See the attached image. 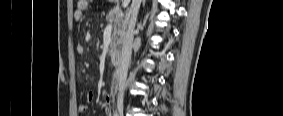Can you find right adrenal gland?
<instances>
[{
    "label": "right adrenal gland",
    "mask_w": 283,
    "mask_h": 116,
    "mask_svg": "<svg viewBox=\"0 0 283 116\" xmlns=\"http://www.w3.org/2000/svg\"><path fill=\"white\" fill-rule=\"evenodd\" d=\"M144 5H145V0H143V7H144Z\"/></svg>",
    "instance_id": "obj_1"
}]
</instances>
